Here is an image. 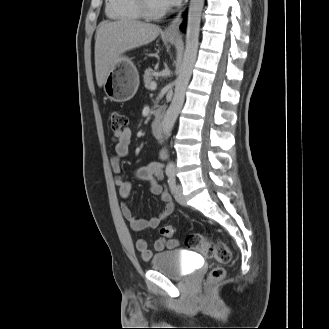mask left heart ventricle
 <instances>
[{"label":"left heart ventricle","mask_w":329,"mask_h":329,"mask_svg":"<svg viewBox=\"0 0 329 329\" xmlns=\"http://www.w3.org/2000/svg\"><path fill=\"white\" fill-rule=\"evenodd\" d=\"M149 3L150 6L157 11L166 8V5L162 0H149Z\"/></svg>","instance_id":"obj_1"}]
</instances>
